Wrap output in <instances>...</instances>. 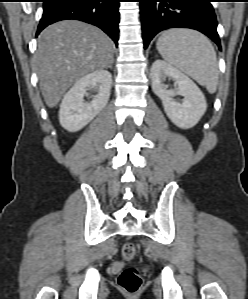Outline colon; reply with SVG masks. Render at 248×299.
Masks as SVG:
<instances>
[{
  "label": "colon",
  "instance_id": "1",
  "mask_svg": "<svg viewBox=\"0 0 248 299\" xmlns=\"http://www.w3.org/2000/svg\"><path fill=\"white\" fill-rule=\"evenodd\" d=\"M136 254L135 243L129 241L122 247V255L125 260H132ZM118 285L127 294H136L142 286L141 273L134 267L124 269L118 276Z\"/></svg>",
  "mask_w": 248,
  "mask_h": 299
}]
</instances>
